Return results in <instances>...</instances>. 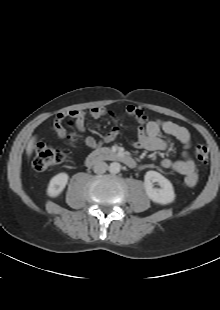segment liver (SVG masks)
I'll return each mask as SVG.
<instances>
[{
    "label": "liver",
    "mask_w": 220,
    "mask_h": 310,
    "mask_svg": "<svg viewBox=\"0 0 220 310\" xmlns=\"http://www.w3.org/2000/svg\"><path fill=\"white\" fill-rule=\"evenodd\" d=\"M35 141H36V138L35 137H32L29 141H28V144H27V147H26V153L28 156H30L32 154V151L34 149V144H35Z\"/></svg>",
    "instance_id": "liver-1"
}]
</instances>
